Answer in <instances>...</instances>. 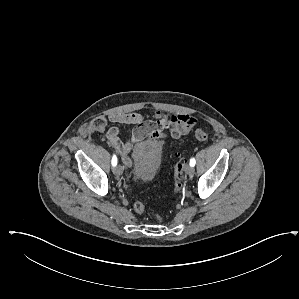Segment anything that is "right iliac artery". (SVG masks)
<instances>
[{"mask_svg":"<svg viewBox=\"0 0 299 299\" xmlns=\"http://www.w3.org/2000/svg\"><path fill=\"white\" fill-rule=\"evenodd\" d=\"M111 163H112L113 167H115L117 165V157H116V155H113Z\"/></svg>","mask_w":299,"mask_h":299,"instance_id":"right-iliac-artery-1","label":"right iliac artery"}]
</instances>
